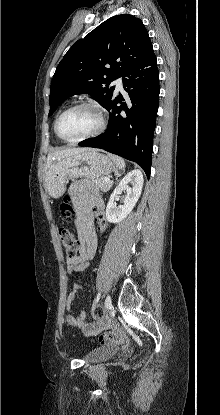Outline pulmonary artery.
Here are the masks:
<instances>
[{"instance_id":"pulmonary-artery-1","label":"pulmonary artery","mask_w":220,"mask_h":415,"mask_svg":"<svg viewBox=\"0 0 220 415\" xmlns=\"http://www.w3.org/2000/svg\"><path fill=\"white\" fill-rule=\"evenodd\" d=\"M113 83L117 91H123V83L121 78L116 79Z\"/></svg>"}]
</instances>
